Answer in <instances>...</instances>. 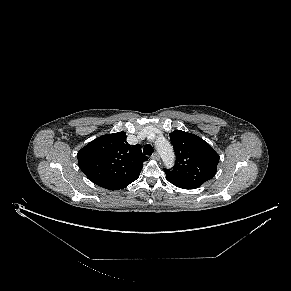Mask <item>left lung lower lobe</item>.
I'll return each mask as SVG.
<instances>
[{
    "label": "left lung lower lobe",
    "mask_w": 291,
    "mask_h": 291,
    "mask_svg": "<svg viewBox=\"0 0 291 291\" xmlns=\"http://www.w3.org/2000/svg\"><path fill=\"white\" fill-rule=\"evenodd\" d=\"M179 188H182V189H196L197 187L195 186H177Z\"/></svg>",
    "instance_id": "obj_1"
}]
</instances>
